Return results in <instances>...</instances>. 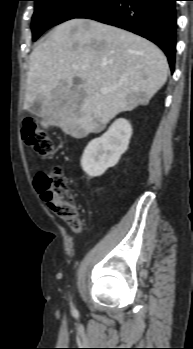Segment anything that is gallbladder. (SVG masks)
Instances as JSON below:
<instances>
[{
  "label": "gallbladder",
  "instance_id": "gallbladder-1",
  "mask_svg": "<svg viewBox=\"0 0 193 349\" xmlns=\"http://www.w3.org/2000/svg\"><path fill=\"white\" fill-rule=\"evenodd\" d=\"M29 112L33 115H39L41 112V102L38 100L35 101L29 108Z\"/></svg>",
  "mask_w": 193,
  "mask_h": 349
}]
</instances>
